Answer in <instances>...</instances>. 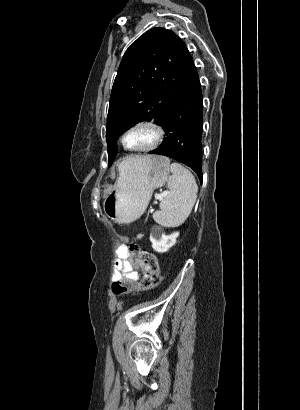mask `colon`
<instances>
[{"mask_svg": "<svg viewBox=\"0 0 300 410\" xmlns=\"http://www.w3.org/2000/svg\"><path fill=\"white\" fill-rule=\"evenodd\" d=\"M128 251L134 264L141 267L143 276L138 284L129 279H120L113 283L112 293L120 296L132 291H147L154 289L160 283L159 263L157 256L137 244H131Z\"/></svg>", "mask_w": 300, "mask_h": 410, "instance_id": "1", "label": "colon"}]
</instances>
